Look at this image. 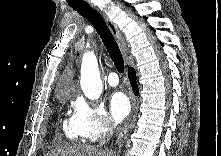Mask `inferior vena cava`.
<instances>
[{"label": "inferior vena cava", "instance_id": "1", "mask_svg": "<svg viewBox=\"0 0 221 156\" xmlns=\"http://www.w3.org/2000/svg\"><path fill=\"white\" fill-rule=\"evenodd\" d=\"M113 128H114L113 123L111 121H108L105 131H104V134L100 140V146L105 145L109 141V139L111 138V136L113 134Z\"/></svg>", "mask_w": 221, "mask_h": 156}]
</instances>
